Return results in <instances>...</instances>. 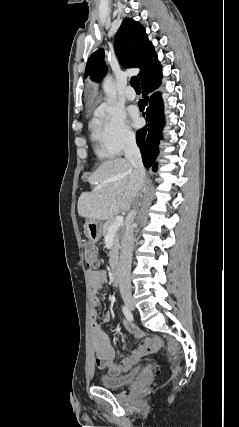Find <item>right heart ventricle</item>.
Returning <instances> with one entry per match:
<instances>
[{
  "label": "right heart ventricle",
  "mask_w": 239,
  "mask_h": 427,
  "mask_svg": "<svg viewBox=\"0 0 239 427\" xmlns=\"http://www.w3.org/2000/svg\"><path fill=\"white\" fill-rule=\"evenodd\" d=\"M92 140L95 143V152L99 158H109L114 155L105 145L103 138L99 130L97 129L95 123L92 126Z\"/></svg>",
  "instance_id": "right-heart-ventricle-1"
}]
</instances>
